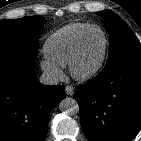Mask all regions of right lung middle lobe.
I'll use <instances>...</instances> for the list:
<instances>
[{
  "label": "right lung middle lobe",
  "mask_w": 141,
  "mask_h": 141,
  "mask_svg": "<svg viewBox=\"0 0 141 141\" xmlns=\"http://www.w3.org/2000/svg\"><path fill=\"white\" fill-rule=\"evenodd\" d=\"M45 22L41 16L0 21V54L36 47Z\"/></svg>",
  "instance_id": "dd1d6c3e"
}]
</instances>
